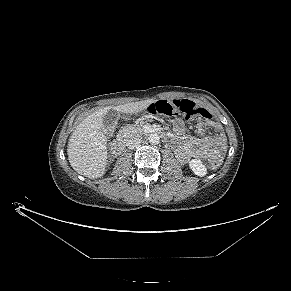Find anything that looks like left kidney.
Instances as JSON below:
<instances>
[{
  "label": "left kidney",
  "instance_id": "5707ae66",
  "mask_svg": "<svg viewBox=\"0 0 291 291\" xmlns=\"http://www.w3.org/2000/svg\"><path fill=\"white\" fill-rule=\"evenodd\" d=\"M189 167L197 176L203 177L207 173V168L200 160L192 159L189 161Z\"/></svg>",
  "mask_w": 291,
  "mask_h": 291
}]
</instances>
